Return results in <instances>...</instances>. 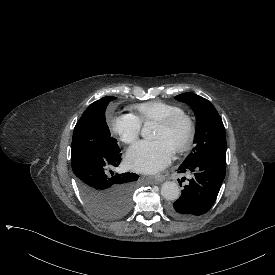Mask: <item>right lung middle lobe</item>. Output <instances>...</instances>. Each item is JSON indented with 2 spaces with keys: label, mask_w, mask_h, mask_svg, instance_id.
Instances as JSON below:
<instances>
[{
  "label": "right lung middle lobe",
  "mask_w": 275,
  "mask_h": 275,
  "mask_svg": "<svg viewBox=\"0 0 275 275\" xmlns=\"http://www.w3.org/2000/svg\"><path fill=\"white\" fill-rule=\"evenodd\" d=\"M116 97L92 103L73 132L71 166L80 193L97 216L115 220L130 210L139 176L121 163L117 140L110 135L105 110Z\"/></svg>",
  "instance_id": "obj_1"
}]
</instances>
